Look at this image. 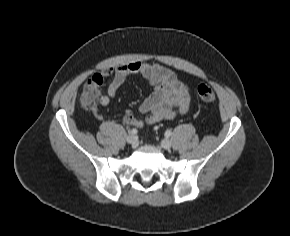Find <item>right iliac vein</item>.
Wrapping results in <instances>:
<instances>
[{
	"instance_id": "1",
	"label": "right iliac vein",
	"mask_w": 290,
	"mask_h": 236,
	"mask_svg": "<svg viewBox=\"0 0 290 236\" xmlns=\"http://www.w3.org/2000/svg\"><path fill=\"white\" fill-rule=\"evenodd\" d=\"M126 141L128 144H130L132 147H136L137 144H138V141H137V138L135 135L133 134H129L127 137H126Z\"/></svg>"
}]
</instances>
